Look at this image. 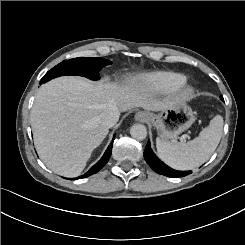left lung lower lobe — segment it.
<instances>
[{"label": "left lung lower lobe", "mask_w": 245, "mask_h": 245, "mask_svg": "<svg viewBox=\"0 0 245 245\" xmlns=\"http://www.w3.org/2000/svg\"><path fill=\"white\" fill-rule=\"evenodd\" d=\"M221 99L223 100V97L221 96ZM144 158L148 165L157 173L167 176V177H184L186 175H189L191 171H177L170 167H168L166 164H164L160 159L157 158V156L153 153L151 147H150V141L148 140L147 146L144 150Z\"/></svg>", "instance_id": "left-lung-lower-lobe-1"}]
</instances>
